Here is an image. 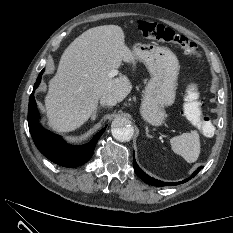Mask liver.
Listing matches in <instances>:
<instances>
[{
	"instance_id": "1",
	"label": "liver",
	"mask_w": 233,
	"mask_h": 233,
	"mask_svg": "<svg viewBox=\"0 0 233 233\" xmlns=\"http://www.w3.org/2000/svg\"><path fill=\"white\" fill-rule=\"evenodd\" d=\"M135 60L121 27L103 25L83 32L65 49L49 82L45 97L48 125L69 132L90 118L104 94H113L117 102L124 100L132 89L129 79L108 74L122 61L135 66Z\"/></svg>"
}]
</instances>
